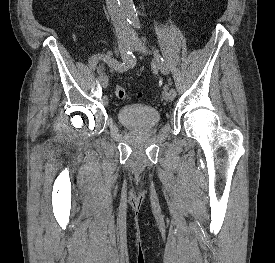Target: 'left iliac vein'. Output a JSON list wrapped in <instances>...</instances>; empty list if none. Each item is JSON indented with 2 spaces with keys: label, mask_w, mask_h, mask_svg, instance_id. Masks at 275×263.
I'll return each instance as SVG.
<instances>
[{
  "label": "left iliac vein",
  "mask_w": 275,
  "mask_h": 263,
  "mask_svg": "<svg viewBox=\"0 0 275 263\" xmlns=\"http://www.w3.org/2000/svg\"><path fill=\"white\" fill-rule=\"evenodd\" d=\"M131 46L132 48L137 51V52H142V53H146L147 52V49H146V46L144 45V43L138 38L137 35H134L132 37V40H131ZM163 98L170 102L172 101L174 98H175V94L172 93L171 91H167L165 90L163 92Z\"/></svg>",
  "instance_id": "1"
}]
</instances>
